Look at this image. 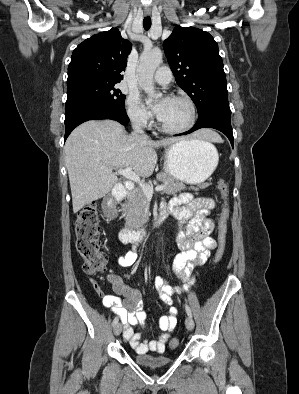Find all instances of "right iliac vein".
Returning <instances> with one entry per match:
<instances>
[{
  "instance_id": "1",
  "label": "right iliac vein",
  "mask_w": 299,
  "mask_h": 394,
  "mask_svg": "<svg viewBox=\"0 0 299 394\" xmlns=\"http://www.w3.org/2000/svg\"><path fill=\"white\" fill-rule=\"evenodd\" d=\"M121 331H122V324H121V323H117V324L114 326V334H115L116 336H119V335L121 334Z\"/></svg>"
}]
</instances>
